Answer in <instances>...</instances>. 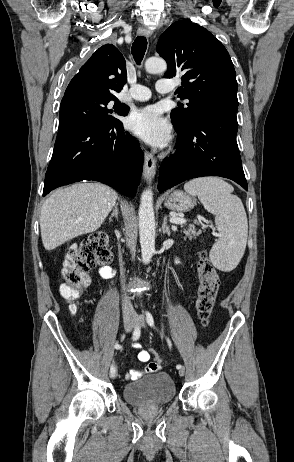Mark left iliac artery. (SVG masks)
<instances>
[{"label":"left iliac artery","instance_id":"left-iliac-artery-1","mask_svg":"<svg viewBox=\"0 0 294 462\" xmlns=\"http://www.w3.org/2000/svg\"><path fill=\"white\" fill-rule=\"evenodd\" d=\"M146 320H147V323H148L151 327H155V326H154V319H153V316H152L151 313L148 312V311H146ZM167 341H168V344H169L168 351H169V352H172V351H173V348L171 347V342H170L169 339H167ZM182 367H183V366L180 365V364L176 366L177 369H180V368H182Z\"/></svg>","mask_w":294,"mask_h":462}]
</instances>
